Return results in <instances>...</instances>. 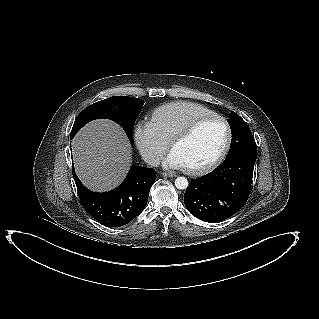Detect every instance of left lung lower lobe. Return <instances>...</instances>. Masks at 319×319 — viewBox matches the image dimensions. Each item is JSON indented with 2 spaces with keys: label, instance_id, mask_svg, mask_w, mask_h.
I'll return each instance as SVG.
<instances>
[{
  "label": "left lung lower lobe",
  "instance_id": "obj_1",
  "mask_svg": "<svg viewBox=\"0 0 319 319\" xmlns=\"http://www.w3.org/2000/svg\"><path fill=\"white\" fill-rule=\"evenodd\" d=\"M256 156L226 158L211 173L191 179L184 193L187 210L206 222H221L238 212L250 194Z\"/></svg>",
  "mask_w": 319,
  "mask_h": 319
}]
</instances>
